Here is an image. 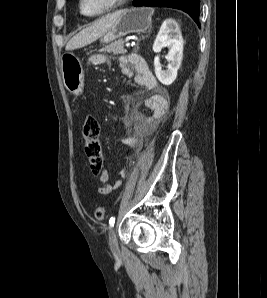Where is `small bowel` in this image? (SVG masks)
<instances>
[{
    "label": "small bowel",
    "instance_id": "small-bowel-1",
    "mask_svg": "<svg viewBox=\"0 0 267 298\" xmlns=\"http://www.w3.org/2000/svg\"><path fill=\"white\" fill-rule=\"evenodd\" d=\"M90 64L92 66L106 65L108 64V59L101 54L93 55L90 58ZM119 65L122 72L128 77L133 78L137 84L156 91L145 104L149 115L144 118L142 133L148 135L165 115L168 109L167 99L165 95L159 91L157 80L150 71L147 62L141 56L134 53L122 56L119 59ZM97 176L101 183V186L98 188L99 195H108L121 185V181H117L114 185L109 183V173L107 170H101Z\"/></svg>",
    "mask_w": 267,
    "mask_h": 298
}]
</instances>
